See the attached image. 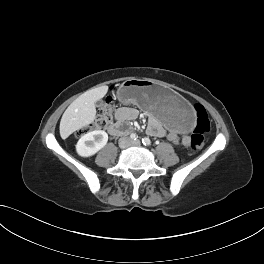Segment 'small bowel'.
<instances>
[{
    "instance_id": "1",
    "label": "small bowel",
    "mask_w": 264,
    "mask_h": 264,
    "mask_svg": "<svg viewBox=\"0 0 264 264\" xmlns=\"http://www.w3.org/2000/svg\"><path fill=\"white\" fill-rule=\"evenodd\" d=\"M137 116H138V111L132 107H122L119 108L116 112V119L119 122H124L126 120H133ZM147 131L152 136H156V137L167 136V138L174 144H179V143H183L185 145L188 144L187 137L182 136L176 130H170V131L165 130L163 126L156 119L150 120L147 127Z\"/></svg>"
}]
</instances>
